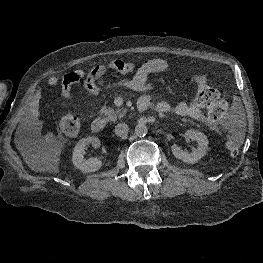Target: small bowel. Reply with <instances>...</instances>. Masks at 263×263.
<instances>
[{
    "instance_id": "obj_1",
    "label": "small bowel",
    "mask_w": 263,
    "mask_h": 263,
    "mask_svg": "<svg viewBox=\"0 0 263 263\" xmlns=\"http://www.w3.org/2000/svg\"><path fill=\"white\" fill-rule=\"evenodd\" d=\"M115 62H121L127 65V69L119 70L115 66ZM135 67L132 63L124 62L121 60L113 61L107 65H99L92 68L89 72L84 70H76L71 73L66 74L61 81L56 76H50L47 79V85L54 87L59 84L61 85L62 97L68 101L72 100V86L78 82H82L86 92L92 97H98L100 95V88L98 86V80L108 71L115 70L122 74L130 73L134 71ZM169 71V64L160 58H153L141 66H139L130 79H119L117 81V86L120 88L131 89L140 93H144L139 103H145L148 107L153 105L152 98L147 92L153 88V82L149 80L151 74L164 73ZM42 92L37 90L32 98L30 106V126L33 130H38V107ZM155 108L162 113L174 110L177 115L190 117L192 119L198 120L205 124L212 131H219L220 126L217 120L207 116L203 113V106L198 102L196 97L195 100L190 102H179L174 107L166 101H159L155 104ZM47 142H52L54 140V135L52 133H47L44 136Z\"/></svg>"
}]
</instances>
